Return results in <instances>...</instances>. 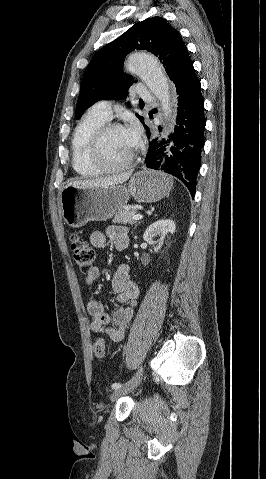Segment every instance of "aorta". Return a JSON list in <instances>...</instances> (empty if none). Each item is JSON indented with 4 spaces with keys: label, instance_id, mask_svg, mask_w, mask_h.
Masks as SVG:
<instances>
[{
    "label": "aorta",
    "instance_id": "1",
    "mask_svg": "<svg viewBox=\"0 0 266 479\" xmlns=\"http://www.w3.org/2000/svg\"><path fill=\"white\" fill-rule=\"evenodd\" d=\"M127 70L142 79L152 93L161 101L165 117L171 115L169 81L163 67L150 54L132 53L128 57Z\"/></svg>",
    "mask_w": 266,
    "mask_h": 479
}]
</instances>
